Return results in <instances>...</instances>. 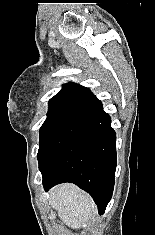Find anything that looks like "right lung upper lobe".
Listing matches in <instances>:
<instances>
[{"instance_id":"cb5924a9","label":"right lung upper lobe","mask_w":155,"mask_h":235,"mask_svg":"<svg viewBox=\"0 0 155 235\" xmlns=\"http://www.w3.org/2000/svg\"><path fill=\"white\" fill-rule=\"evenodd\" d=\"M90 90L78 84L64 85L49 101V112L63 114L89 122L98 121L94 114V104L89 99Z\"/></svg>"}]
</instances>
